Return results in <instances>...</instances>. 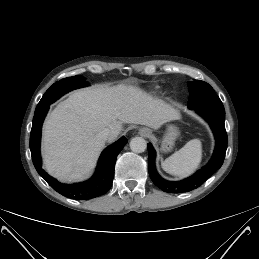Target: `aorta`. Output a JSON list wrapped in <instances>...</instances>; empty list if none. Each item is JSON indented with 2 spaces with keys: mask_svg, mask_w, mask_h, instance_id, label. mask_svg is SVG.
I'll return each mask as SVG.
<instances>
[{
  "mask_svg": "<svg viewBox=\"0 0 259 259\" xmlns=\"http://www.w3.org/2000/svg\"><path fill=\"white\" fill-rule=\"evenodd\" d=\"M147 148V142L142 137H134L130 141V149L135 153H142Z\"/></svg>",
  "mask_w": 259,
  "mask_h": 259,
  "instance_id": "1",
  "label": "aorta"
}]
</instances>
